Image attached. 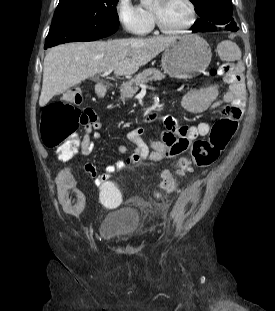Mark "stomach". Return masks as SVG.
Here are the masks:
<instances>
[{
  "mask_svg": "<svg viewBox=\"0 0 275 311\" xmlns=\"http://www.w3.org/2000/svg\"><path fill=\"white\" fill-rule=\"evenodd\" d=\"M211 58L209 44L197 34H188L169 44L162 55L161 66L170 77L190 79L203 73Z\"/></svg>",
  "mask_w": 275,
  "mask_h": 311,
  "instance_id": "obj_1",
  "label": "stomach"
}]
</instances>
